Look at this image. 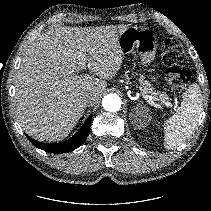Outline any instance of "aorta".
Masks as SVG:
<instances>
[{
  "instance_id": "aorta-1",
  "label": "aorta",
  "mask_w": 211,
  "mask_h": 211,
  "mask_svg": "<svg viewBox=\"0 0 211 211\" xmlns=\"http://www.w3.org/2000/svg\"><path fill=\"white\" fill-rule=\"evenodd\" d=\"M121 98L114 93L108 94L103 98L102 106L106 111L116 112L121 108Z\"/></svg>"
}]
</instances>
